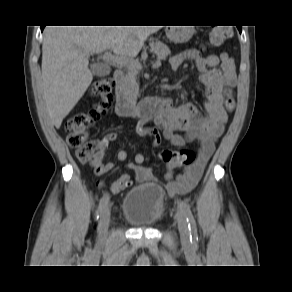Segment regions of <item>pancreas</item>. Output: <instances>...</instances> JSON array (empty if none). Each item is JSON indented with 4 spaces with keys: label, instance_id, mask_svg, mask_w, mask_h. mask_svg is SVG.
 Masks as SVG:
<instances>
[{
    "label": "pancreas",
    "instance_id": "pancreas-1",
    "mask_svg": "<svg viewBox=\"0 0 292 292\" xmlns=\"http://www.w3.org/2000/svg\"><path fill=\"white\" fill-rule=\"evenodd\" d=\"M150 51L157 55L159 59H166L170 55V49L167 45L160 41H152L150 43ZM138 68L132 66H126L125 75L123 77L121 86L129 97H135L138 94V84L136 82L137 75L139 73Z\"/></svg>",
    "mask_w": 292,
    "mask_h": 292
}]
</instances>
